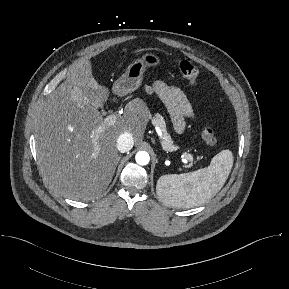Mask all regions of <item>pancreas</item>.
<instances>
[{"label": "pancreas", "mask_w": 289, "mask_h": 289, "mask_svg": "<svg viewBox=\"0 0 289 289\" xmlns=\"http://www.w3.org/2000/svg\"><path fill=\"white\" fill-rule=\"evenodd\" d=\"M152 123L158 127L161 128L162 130V147L164 150L167 151H173L176 150L178 148V146H175L173 144V141L171 139V136L169 135V133L167 132L166 129V123L164 118L161 115H156L153 119H152Z\"/></svg>", "instance_id": "pancreas-1"}]
</instances>
